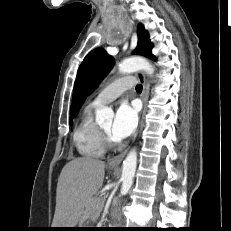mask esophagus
<instances>
[{"instance_id": "34e87169", "label": "esophagus", "mask_w": 231, "mask_h": 231, "mask_svg": "<svg viewBox=\"0 0 231 231\" xmlns=\"http://www.w3.org/2000/svg\"><path fill=\"white\" fill-rule=\"evenodd\" d=\"M137 76H138L140 82H141L142 85H143V90H142V93H141V96H140V97H141L142 103L145 104V95H146V92H147L146 78H145V75H144L143 72H138V73H137ZM141 113H143V110L141 111ZM140 126H141V120H140V122H139V127H140ZM139 127H138V130H139ZM138 130H137V132L135 133L133 139L136 138V135H137V133H138ZM127 151H128V150H125V151L121 152L120 154H118V155H116V156L110 158V159L108 160V166H110V167H118V166L121 164V162L123 161L125 155L127 154Z\"/></svg>"}]
</instances>
